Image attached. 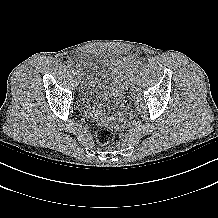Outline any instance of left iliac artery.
Returning <instances> with one entry per match:
<instances>
[{"instance_id": "1", "label": "left iliac artery", "mask_w": 218, "mask_h": 218, "mask_svg": "<svg viewBox=\"0 0 218 218\" xmlns=\"http://www.w3.org/2000/svg\"><path fill=\"white\" fill-rule=\"evenodd\" d=\"M143 68V63H138L137 65H135L134 68L131 69V74L129 76V78H131L132 76L134 77V73L136 72H139L141 69Z\"/></svg>"}]
</instances>
